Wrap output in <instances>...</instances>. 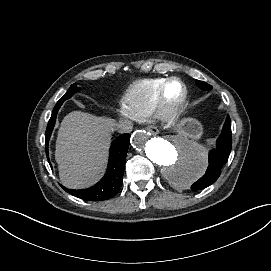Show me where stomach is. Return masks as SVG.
<instances>
[{"mask_svg":"<svg viewBox=\"0 0 271 271\" xmlns=\"http://www.w3.org/2000/svg\"><path fill=\"white\" fill-rule=\"evenodd\" d=\"M178 129L192 137H198L201 134L202 128L200 124L193 119H185L178 124Z\"/></svg>","mask_w":271,"mask_h":271,"instance_id":"0dacf381","label":"stomach"}]
</instances>
